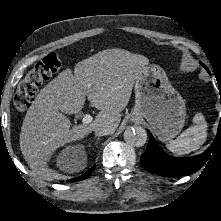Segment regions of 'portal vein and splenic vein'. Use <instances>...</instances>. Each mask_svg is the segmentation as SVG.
<instances>
[{"instance_id":"1","label":"portal vein and splenic vein","mask_w":221,"mask_h":221,"mask_svg":"<svg viewBox=\"0 0 221 221\" xmlns=\"http://www.w3.org/2000/svg\"><path fill=\"white\" fill-rule=\"evenodd\" d=\"M93 118L90 114H85L83 119H82V123L83 124H88L90 122H92Z\"/></svg>"}]
</instances>
